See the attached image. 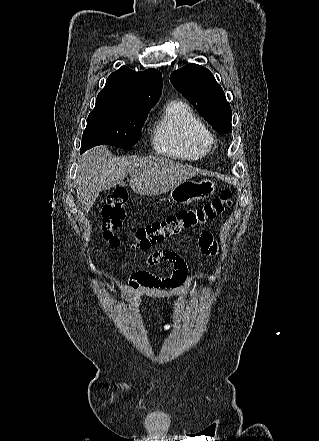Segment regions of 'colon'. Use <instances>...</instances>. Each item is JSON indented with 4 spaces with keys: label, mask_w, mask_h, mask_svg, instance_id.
<instances>
[{
    "label": "colon",
    "mask_w": 319,
    "mask_h": 441,
    "mask_svg": "<svg viewBox=\"0 0 319 441\" xmlns=\"http://www.w3.org/2000/svg\"><path fill=\"white\" fill-rule=\"evenodd\" d=\"M128 201L124 189H116L102 208V230L104 240L114 248L121 246L118 230L126 218L125 206ZM232 204L230 190H223L211 201L188 209H181L162 221L138 228L133 235V249L147 250L193 227L202 225L222 214ZM206 233V232H204Z\"/></svg>",
    "instance_id": "5ec220e1"
}]
</instances>
